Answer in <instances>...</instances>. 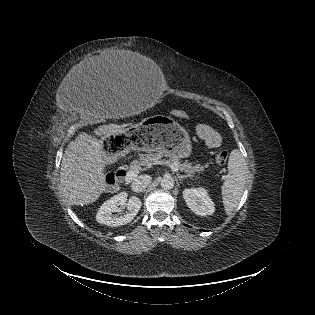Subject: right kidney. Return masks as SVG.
Wrapping results in <instances>:
<instances>
[{"label": "right kidney", "instance_id": "1", "mask_svg": "<svg viewBox=\"0 0 315 315\" xmlns=\"http://www.w3.org/2000/svg\"><path fill=\"white\" fill-rule=\"evenodd\" d=\"M126 202V192H121L105 201L97 212V222L111 227H118L130 223L137 215L142 203L140 199L135 196L130 197L128 202ZM125 205H127L128 210L126 214L121 216L113 215L115 212H121Z\"/></svg>", "mask_w": 315, "mask_h": 315}]
</instances>
